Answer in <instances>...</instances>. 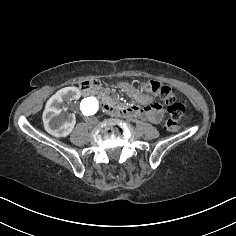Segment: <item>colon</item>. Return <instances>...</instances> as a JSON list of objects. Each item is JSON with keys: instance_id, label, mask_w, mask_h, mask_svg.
Segmentation results:
<instances>
[{"instance_id": "obj_1", "label": "colon", "mask_w": 236, "mask_h": 236, "mask_svg": "<svg viewBox=\"0 0 236 236\" xmlns=\"http://www.w3.org/2000/svg\"><path fill=\"white\" fill-rule=\"evenodd\" d=\"M101 82L97 79L81 81L77 83V87L81 90L100 86ZM140 86L143 90L151 92L159 96L166 104L169 118L165 123L166 129L177 131L178 121L185 112V105L182 100L177 98L172 89L155 80L141 81Z\"/></svg>"}]
</instances>
